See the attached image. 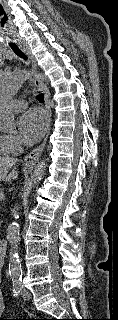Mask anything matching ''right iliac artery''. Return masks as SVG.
<instances>
[{
  "mask_svg": "<svg viewBox=\"0 0 118 320\" xmlns=\"http://www.w3.org/2000/svg\"><path fill=\"white\" fill-rule=\"evenodd\" d=\"M21 291V281L15 280L13 281V295L17 297Z\"/></svg>",
  "mask_w": 118,
  "mask_h": 320,
  "instance_id": "1",
  "label": "right iliac artery"
}]
</instances>
